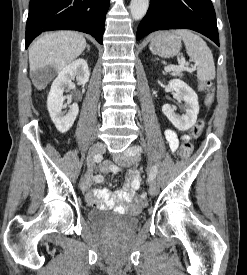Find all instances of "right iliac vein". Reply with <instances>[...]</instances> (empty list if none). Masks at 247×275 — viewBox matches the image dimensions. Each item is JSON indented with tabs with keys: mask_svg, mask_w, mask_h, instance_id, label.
<instances>
[{
	"mask_svg": "<svg viewBox=\"0 0 247 275\" xmlns=\"http://www.w3.org/2000/svg\"><path fill=\"white\" fill-rule=\"evenodd\" d=\"M105 145L104 144H97L95 146H93L90 151H89V155L87 157V164H88V171L87 173L81 178L80 181V189L85 192L87 191L90 186H91V182H92V167H93V157H95L96 155H101L102 153L105 152Z\"/></svg>",
	"mask_w": 247,
	"mask_h": 275,
	"instance_id": "right-iliac-vein-1",
	"label": "right iliac vein"
}]
</instances>
